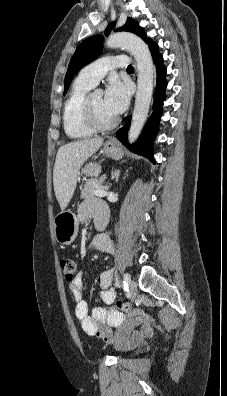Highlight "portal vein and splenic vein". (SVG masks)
<instances>
[{
	"label": "portal vein and splenic vein",
	"instance_id": "1",
	"mask_svg": "<svg viewBox=\"0 0 227 396\" xmlns=\"http://www.w3.org/2000/svg\"><path fill=\"white\" fill-rule=\"evenodd\" d=\"M105 189H108V187H105V188H103V189L94 190L93 193H94V195H96V196L103 197V196H105V195L107 194V192L105 191Z\"/></svg>",
	"mask_w": 227,
	"mask_h": 396
}]
</instances>
